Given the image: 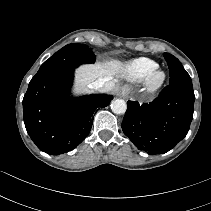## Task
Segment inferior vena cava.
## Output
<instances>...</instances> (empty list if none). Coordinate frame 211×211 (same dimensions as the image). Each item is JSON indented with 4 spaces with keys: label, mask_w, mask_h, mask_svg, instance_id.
Returning <instances> with one entry per match:
<instances>
[{
    "label": "inferior vena cava",
    "mask_w": 211,
    "mask_h": 211,
    "mask_svg": "<svg viewBox=\"0 0 211 211\" xmlns=\"http://www.w3.org/2000/svg\"><path fill=\"white\" fill-rule=\"evenodd\" d=\"M104 84H105V82L103 79H98V80L94 81L93 83H91L89 85V88L100 91V90H103Z\"/></svg>",
    "instance_id": "1"
}]
</instances>
